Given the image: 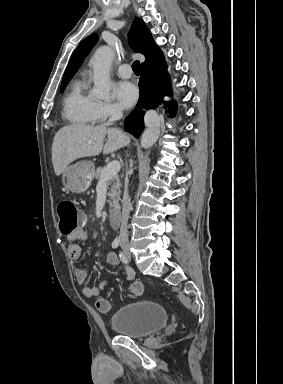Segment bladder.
<instances>
[{"mask_svg": "<svg viewBox=\"0 0 283 384\" xmlns=\"http://www.w3.org/2000/svg\"><path fill=\"white\" fill-rule=\"evenodd\" d=\"M168 322L162 303L143 299L120 306L113 314L111 327L116 335L141 339L161 330Z\"/></svg>", "mask_w": 283, "mask_h": 384, "instance_id": "31cf9c89", "label": "bladder"}]
</instances>
